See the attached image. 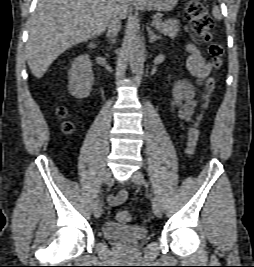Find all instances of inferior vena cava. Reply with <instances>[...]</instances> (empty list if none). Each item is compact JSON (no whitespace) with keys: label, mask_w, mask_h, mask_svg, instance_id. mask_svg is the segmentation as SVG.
I'll use <instances>...</instances> for the list:
<instances>
[{"label":"inferior vena cava","mask_w":254,"mask_h":267,"mask_svg":"<svg viewBox=\"0 0 254 267\" xmlns=\"http://www.w3.org/2000/svg\"><path fill=\"white\" fill-rule=\"evenodd\" d=\"M121 21L117 14H113L107 23V36L111 40L120 31Z\"/></svg>","instance_id":"602c4592"}]
</instances>
